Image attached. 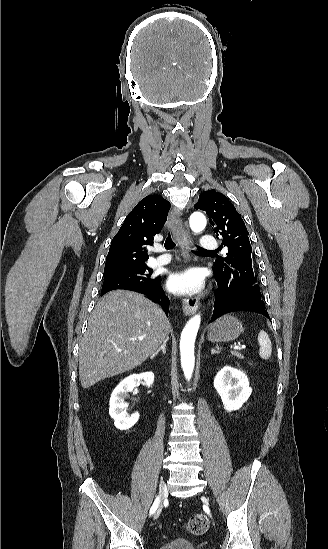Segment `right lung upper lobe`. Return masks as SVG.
Wrapping results in <instances>:
<instances>
[{
    "label": "right lung upper lobe",
    "mask_w": 328,
    "mask_h": 549,
    "mask_svg": "<svg viewBox=\"0 0 328 549\" xmlns=\"http://www.w3.org/2000/svg\"><path fill=\"white\" fill-rule=\"evenodd\" d=\"M170 203L160 195L142 199L128 214L114 236L106 257L104 272L145 264L149 256L146 247L164 226Z\"/></svg>",
    "instance_id": "cb5924a9"
}]
</instances>
